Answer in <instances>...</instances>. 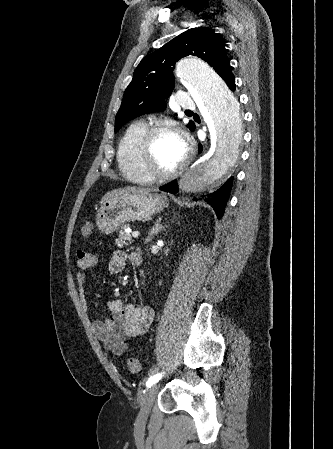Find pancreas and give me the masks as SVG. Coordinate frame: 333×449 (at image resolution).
<instances>
[{
	"mask_svg": "<svg viewBox=\"0 0 333 449\" xmlns=\"http://www.w3.org/2000/svg\"><path fill=\"white\" fill-rule=\"evenodd\" d=\"M126 226L123 228V230H121L119 232V237L116 240V244L119 247H123V246H127L128 244H130L132 242V236L130 233H127L126 230Z\"/></svg>",
	"mask_w": 333,
	"mask_h": 449,
	"instance_id": "1",
	"label": "pancreas"
}]
</instances>
